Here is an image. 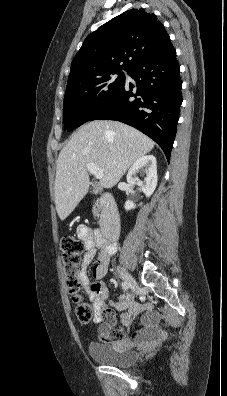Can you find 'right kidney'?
<instances>
[{
    "label": "right kidney",
    "instance_id": "obj_1",
    "mask_svg": "<svg viewBox=\"0 0 227 396\" xmlns=\"http://www.w3.org/2000/svg\"><path fill=\"white\" fill-rule=\"evenodd\" d=\"M137 174H140L143 179L140 180ZM157 180V162L153 155H146L137 159L130 167L127 174V182L132 186L138 185L139 189L146 195V197H150L155 191ZM124 207L125 210L128 211L134 209L136 205L133 201L128 200L125 202Z\"/></svg>",
    "mask_w": 227,
    "mask_h": 396
}]
</instances>
